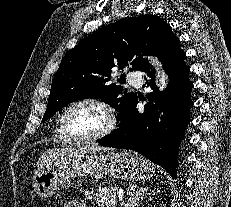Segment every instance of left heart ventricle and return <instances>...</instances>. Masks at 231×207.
Here are the masks:
<instances>
[{"label":"left heart ventricle","instance_id":"obj_1","mask_svg":"<svg viewBox=\"0 0 231 207\" xmlns=\"http://www.w3.org/2000/svg\"><path fill=\"white\" fill-rule=\"evenodd\" d=\"M71 133L77 137H86L102 130L106 125L104 112L95 105L84 103L75 106L67 116Z\"/></svg>","mask_w":231,"mask_h":207}]
</instances>
